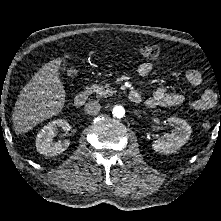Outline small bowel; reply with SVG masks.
<instances>
[{
  "label": "small bowel",
  "instance_id": "obj_1",
  "mask_svg": "<svg viewBox=\"0 0 221 221\" xmlns=\"http://www.w3.org/2000/svg\"><path fill=\"white\" fill-rule=\"evenodd\" d=\"M153 69V65L150 62L141 63L138 67V73L140 76L145 77ZM185 78L191 87H197L202 82V76L197 70H188L185 73ZM216 95L206 90L200 94L197 98L190 101V107L195 111H204L214 106ZM185 101V96L175 92H168L162 87H156L152 94L148 97H143L141 94V100L138 103H142L146 107H172L182 104Z\"/></svg>",
  "mask_w": 221,
  "mask_h": 221
}]
</instances>
